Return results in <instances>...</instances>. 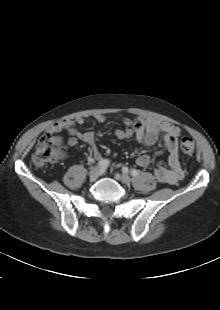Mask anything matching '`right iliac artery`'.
<instances>
[{
    "label": "right iliac artery",
    "instance_id": "1",
    "mask_svg": "<svg viewBox=\"0 0 220 310\" xmlns=\"http://www.w3.org/2000/svg\"><path fill=\"white\" fill-rule=\"evenodd\" d=\"M109 160L108 159H103L98 162L97 168H100L101 170L106 169L109 166Z\"/></svg>",
    "mask_w": 220,
    "mask_h": 310
}]
</instances>
